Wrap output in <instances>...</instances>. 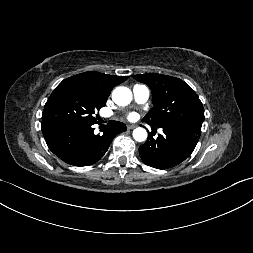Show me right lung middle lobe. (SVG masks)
<instances>
[{
	"label": "right lung middle lobe",
	"instance_id": "dd1d6c3e",
	"mask_svg": "<svg viewBox=\"0 0 253 253\" xmlns=\"http://www.w3.org/2000/svg\"><path fill=\"white\" fill-rule=\"evenodd\" d=\"M107 99L99 97L80 80H63L47 100L42 114V126L54 124H94L95 112Z\"/></svg>",
	"mask_w": 253,
	"mask_h": 253
}]
</instances>
